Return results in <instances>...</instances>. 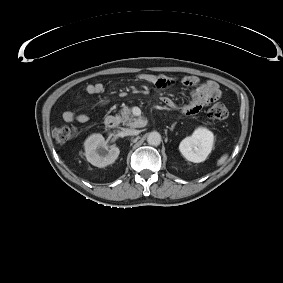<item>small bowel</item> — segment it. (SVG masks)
Masks as SVG:
<instances>
[{"instance_id": "small-bowel-1", "label": "small bowel", "mask_w": 283, "mask_h": 283, "mask_svg": "<svg viewBox=\"0 0 283 283\" xmlns=\"http://www.w3.org/2000/svg\"><path fill=\"white\" fill-rule=\"evenodd\" d=\"M137 78L142 82L154 84L160 88H164L170 83L169 80L152 73H141ZM183 83L186 86L197 85L191 93L189 102L183 106V112L186 114H195L199 112L203 107L217 101L222 95L218 84L213 80L199 83L197 77L187 76L184 77ZM85 91L88 94H100L103 92V85L101 83H89L86 85ZM162 100L168 106L172 107L174 105L172 100L168 97H163ZM106 103V101H102L100 105L104 106ZM63 119L66 122L77 121L79 123H86L89 120V116L84 113H76L72 110H68L63 113Z\"/></svg>"}]
</instances>
